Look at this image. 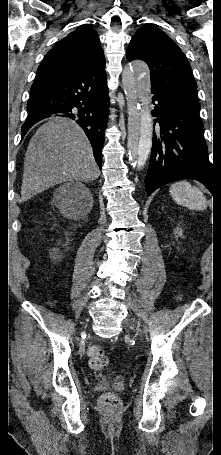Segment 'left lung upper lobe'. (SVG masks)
<instances>
[{
	"label": "left lung upper lobe",
	"instance_id": "1",
	"mask_svg": "<svg viewBox=\"0 0 221 455\" xmlns=\"http://www.w3.org/2000/svg\"><path fill=\"white\" fill-rule=\"evenodd\" d=\"M126 56L129 61L140 59L149 66L151 88L200 111L197 84L190 64L181 49L162 30L153 25L140 27L131 39Z\"/></svg>",
	"mask_w": 221,
	"mask_h": 455
}]
</instances>
